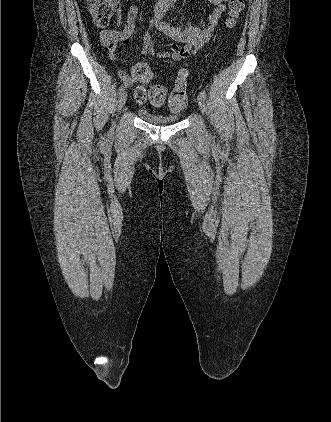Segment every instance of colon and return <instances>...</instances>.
Masks as SVG:
<instances>
[{
	"label": "colon",
	"instance_id": "1",
	"mask_svg": "<svg viewBox=\"0 0 331 422\" xmlns=\"http://www.w3.org/2000/svg\"><path fill=\"white\" fill-rule=\"evenodd\" d=\"M90 14L93 21L98 27H106L113 16L118 12V0H87ZM244 10V0H229L228 1V18L227 25L229 28H234L238 24L242 12ZM132 74L141 83H150L153 79V73L149 66L145 63L138 62L133 66ZM187 73L182 71L172 89L169 99L168 107L172 113H181L187 107ZM136 99L143 101L149 96L157 105H162L167 97V91L164 87L152 84L148 91L139 87L135 91Z\"/></svg>",
	"mask_w": 331,
	"mask_h": 422
}]
</instances>
